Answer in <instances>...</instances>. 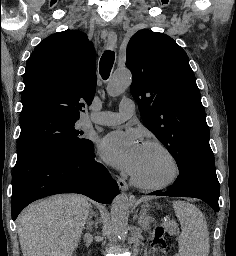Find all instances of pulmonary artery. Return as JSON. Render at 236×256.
<instances>
[{
    "instance_id": "pulmonary-artery-1",
    "label": "pulmonary artery",
    "mask_w": 236,
    "mask_h": 256,
    "mask_svg": "<svg viewBox=\"0 0 236 256\" xmlns=\"http://www.w3.org/2000/svg\"><path fill=\"white\" fill-rule=\"evenodd\" d=\"M118 112H105L101 117H93L91 121L97 124L114 126L122 123L134 114V105L131 101H121Z\"/></svg>"
}]
</instances>
